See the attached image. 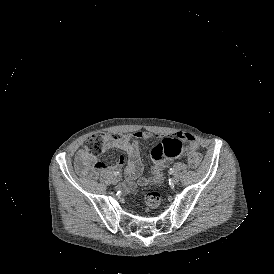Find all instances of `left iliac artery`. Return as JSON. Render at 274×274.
<instances>
[{
	"label": "left iliac artery",
	"mask_w": 274,
	"mask_h": 274,
	"mask_svg": "<svg viewBox=\"0 0 274 274\" xmlns=\"http://www.w3.org/2000/svg\"><path fill=\"white\" fill-rule=\"evenodd\" d=\"M168 172H169V174H173L174 173V169L170 168Z\"/></svg>",
	"instance_id": "44dca946"
}]
</instances>
